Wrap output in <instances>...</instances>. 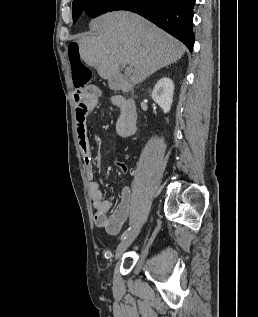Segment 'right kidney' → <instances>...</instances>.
Returning <instances> with one entry per match:
<instances>
[{"label":"right kidney","instance_id":"ca27d5eb","mask_svg":"<svg viewBox=\"0 0 258 317\" xmlns=\"http://www.w3.org/2000/svg\"><path fill=\"white\" fill-rule=\"evenodd\" d=\"M173 90H174V82L168 76H163L160 78L158 82H156L151 96L157 104H160L161 108H163V112H168L171 108V104L173 102Z\"/></svg>","mask_w":258,"mask_h":317}]
</instances>
